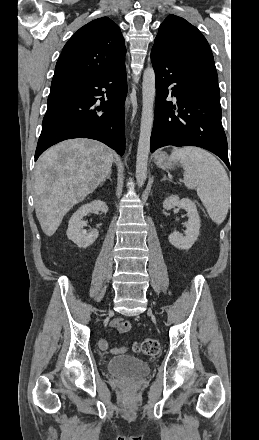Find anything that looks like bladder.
I'll use <instances>...</instances> for the list:
<instances>
[{
  "label": "bladder",
  "mask_w": 259,
  "mask_h": 440,
  "mask_svg": "<svg viewBox=\"0 0 259 440\" xmlns=\"http://www.w3.org/2000/svg\"><path fill=\"white\" fill-rule=\"evenodd\" d=\"M106 369L113 376L143 377L150 371L147 361L132 355H117L110 358L106 364Z\"/></svg>",
  "instance_id": "obj_1"
}]
</instances>
